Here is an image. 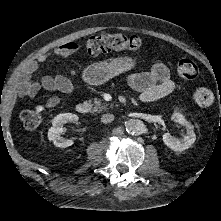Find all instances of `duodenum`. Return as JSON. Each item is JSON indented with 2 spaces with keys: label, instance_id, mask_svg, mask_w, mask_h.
Here are the masks:
<instances>
[{
  "label": "duodenum",
  "instance_id": "obj_1",
  "mask_svg": "<svg viewBox=\"0 0 221 221\" xmlns=\"http://www.w3.org/2000/svg\"><path fill=\"white\" fill-rule=\"evenodd\" d=\"M76 110L79 114L85 115L89 112L90 107L87 103H80L77 105Z\"/></svg>",
  "mask_w": 221,
  "mask_h": 221
}]
</instances>
